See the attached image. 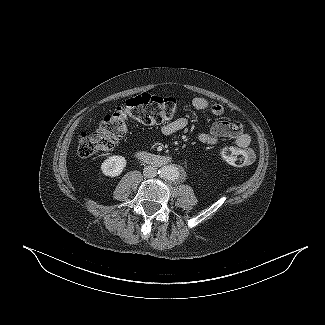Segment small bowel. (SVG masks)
Returning <instances> with one entry per match:
<instances>
[{"mask_svg":"<svg viewBox=\"0 0 325 325\" xmlns=\"http://www.w3.org/2000/svg\"><path fill=\"white\" fill-rule=\"evenodd\" d=\"M191 106L197 110H209L215 116L224 114V106L220 103L211 104L207 99L202 97H195L191 101ZM189 125V119L180 117L173 121L168 122L161 128V132L166 135L175 134ZM221 138L233 139L235 144L245 149L251 161L253 160L254 153L249 148L251 137L244 131L242 124L239 121H218L211 125L208 132H200L197 135L199 142L207 145H214ZM250 161V162H251Z\"/></svg>","mask_w":325,"mask_h":325,"instance_id":"obj_1","label":"small bowel"}]
</instances>
